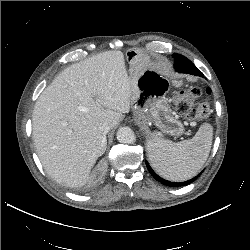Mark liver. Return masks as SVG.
Instances as JSON below:
<instances>
[{
  "mask_svg": "<svg viewBox=\"0 0 250 250\" xmlns=\"http://www.w3.org/2000/svg\"><path fill=\"white\" fill-rule=\"evenodd\" d=\"M130 104L131 77L121 51H105L63 70L41 93L32 116L36 151L47 174L67 187L86 184L106 150L100 124L114 128Z\"/></svg>",
  "mask_w": 250,
  "mask_h": 250,
  "instance_id": "1",
  "label": "liver"
}]
</instances>
